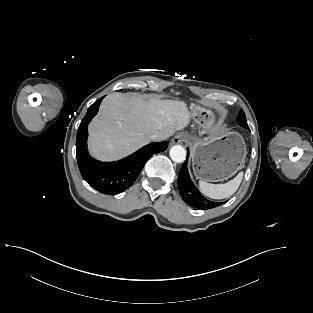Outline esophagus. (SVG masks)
I'll return each mask as SVG.
<instances>
[{"label": "esophagus", "mask_w": 313, "mask_h": 313, "mask_svg": "<svg viewBox=\"0 0 313 313\" xmlns=\"http://www.w3.org/2000/svg\"><path fill=\"white\" fill-rule=\"evenodd\" d=\"M172 144H178L182 142V137L180 135L175 136L172 140H171Z\"/></svg>", "instance_id": "obj_1"}]
</instances>
